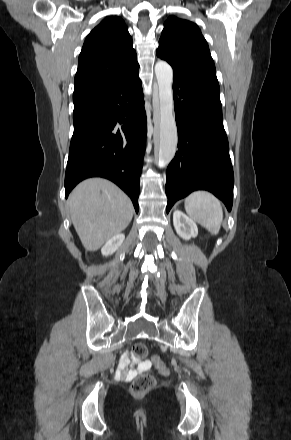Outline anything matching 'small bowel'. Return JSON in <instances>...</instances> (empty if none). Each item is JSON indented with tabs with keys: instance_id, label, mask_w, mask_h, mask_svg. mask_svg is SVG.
Here are the masks:
<instances>
[{
	"instance_id": "1",
	"label": "small bowel",
	"mask_w": 291,
	"mask_h": 440,
	"mask_svg": "<svg viewBox=\"0 0 291 440\" xmlns=\"http://www.w3.org/2000/svg\"><path fill=\"white\" fill-rule=\"evenodd\" d=\"M151 367V361H140L135 357H132L129 352H126L120 358L117 376L121 378H132L138 374L149 371Z\"/></svg>"
}]
</instances>
